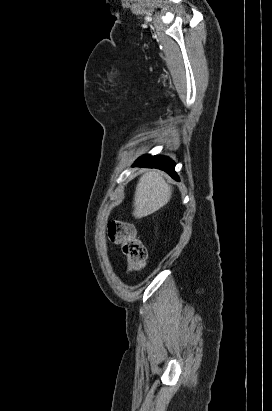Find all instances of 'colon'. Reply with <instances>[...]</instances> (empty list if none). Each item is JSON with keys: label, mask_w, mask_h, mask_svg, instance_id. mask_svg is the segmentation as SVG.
Masks as SVG:
<instances>
[{"label": "colon", "mask_w": 272, "mask_h": 411, "mask_svg": "<svg viewBox=\"0 0 272 411\" xmlns=\"http://www.w3.org/2000/svg\"><path fill=\"white\" fill-rule=\"evenodd\" d=\"M111 241L122 246L131 272L141 271L146 262V249L137 238L135 227L123 221H113L108 226Z\"/></svg>", "instance_id": "5ec220e1"}]
</instances>
